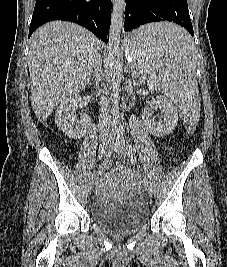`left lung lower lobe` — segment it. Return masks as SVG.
<instances>
[{
    "label": "left lung lower lobe",
    "instance_id": "left-lung-lower-lobe-1",
    "mask_svg": "<svg viewBox=\"0 0 227 267\" xmlns=\"http://www.w3.org/2000/svg\"><path fill=\"white\" fill-rule=\"evenodd\" d=\"M158 21H170L184 27L194 36L187 0H126L124 30L131 31L139 26ZM161 45L177 47L180 40L161 39ZM143 40L139 39L138 45Z\"/></svg>",
    "mask_w": 227,
    "mask_h": 267
}]
</instances>
